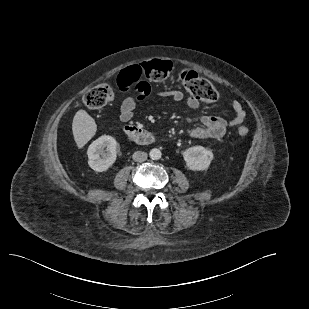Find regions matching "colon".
Here are the masks:
<instances>
[{
  "label": "colon",
  "mask_w": 309,
  "mask_h": 309,
  "mask_svg": "<svg viewBox=\"0 0 309 309\" xmlns=\"http://www.w3.org/2000/svg\"><path fill=\"white\" fill-rule=\"evenodd\" d=\"M173 65L167 60H152L142 65L131 66L123 70L122 76L134 85H142L146 81H162L172 73ZM180 81L186 91L193 97L203 102L212 103L218 99V91L207 79L197 72L183 69L180 73ZM114 93L107 84H100L86 92L82 104L89 109H99L113 100ZM240 136L248 134L246 126L237 129Z\"/></svg>",
  "instance_id": "obj_1"
}]
</instances>
